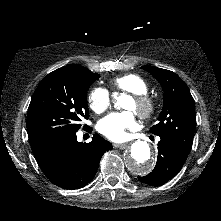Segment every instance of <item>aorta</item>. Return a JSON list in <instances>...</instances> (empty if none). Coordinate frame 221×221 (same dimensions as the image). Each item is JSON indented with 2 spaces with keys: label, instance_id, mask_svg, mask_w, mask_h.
<instances>
[{
  "label": "aorta",
  "instance_id": "1",
  "mask_svg": "<svg viewBox=\"0 0 221 221\" xmlns=\"http://www.w3.org/2000/svg\"><path fill=\"white\" fill-rule=\"evenodd\" d=\"M123 98L124 95L119 96L115 106H120ZM124 163L126 168L135 175H144L151 172L154 161L148 143L141 140L132 143L130 150L125 154Z\"/></svg>",
  "mask_w": 221,
  "mask_h": 221
}]
</instances>
